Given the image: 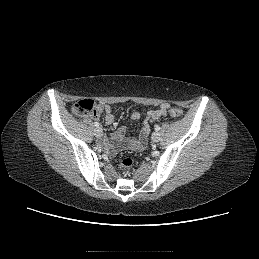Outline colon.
<instances>
[{"label":"colon","instance_id":"obj_1","mask_svg":"<svg viewBox=\"0 0 259 259\" xmlns=\"http://www.w3.org/2000/svg\"><path fill=\"white\" fill-rule=\"evenodd\" d=\"M72 110L77 115L83 116H95L99 111V106L92 99H83L76 102ZM169 113L174 118H182L184 113L180 108L173 107L169 109ZM120 168L124 171H129L133 166V160L129 157H125L120 162Z\"/></svg>","mask_w":259,"mask_h":259}]
</instances>
